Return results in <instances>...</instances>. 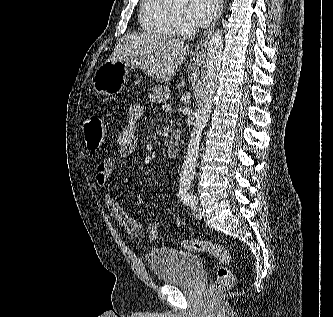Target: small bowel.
<instances>
[{
	"label": "small bowel",
	"mask_w": 333,
	"mask_h": 317,
	"mask_svg": "<svg viewBox=\"0 0 333 317\" xmlns=\"http://www.w3.org/2000/svg\"><path fill=\"white\" fill-rule=\"evenodd\" d=\"M143 110V106L140 103L131 105L128 110L127 124L119 133L116 140L118 156L120 158H128L137 149V122L143 115ZM115 166L116 160L113 157H106L97 165L95 174L97 186L103 192L105 204L116 223L128 234L140 237L145 233L144 224L130 216L109 191L110 178L115 170Z\"/></svg>",
	"instance_id": "c3829d8e"
}]
</instances>
